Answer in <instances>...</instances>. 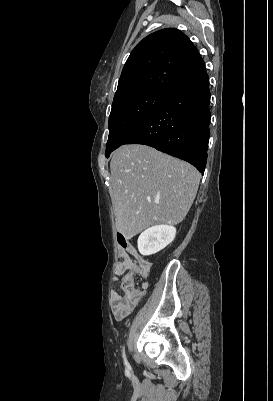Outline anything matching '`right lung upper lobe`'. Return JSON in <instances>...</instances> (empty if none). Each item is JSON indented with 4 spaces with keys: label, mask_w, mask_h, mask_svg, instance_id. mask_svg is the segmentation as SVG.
<instances>
[{
    "label": "right lung upper lobe",
    "mask_w": 273,
    "mask_h": 401,
    "mask_svg": "<svg viewBox=\"0 0 273 401\" xmlns=\"http://www.w3.org/2000/svg\"><path fill=\"white\" fill-rule=\"evenodd\" d=\"M205 69L203 59L185 34L174 28L162 29L133 49L113 100L143 91L166 94Z\"/></svg>",
    "instance_id": "obj_1"
}]
</instances>
